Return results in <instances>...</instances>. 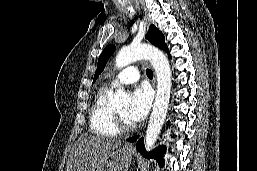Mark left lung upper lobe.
<instances>
[{
  "label": "left lung upper lobe",
  "instance_id": "left-lung-upper-lobe-1",
  "mask_svg": "<svg viewBox=\"0 0 257 171\" xmlns=\"http://www.w3.org/2000/svg\"><path fill=\"white\" fill-rule=\"evenodd\" d=\"M146 38L155 46L159 47L160 49L166 51L167 53H169L168 47L165 43V38L164 35L162 34V32H160L158 30V28H156L154 25H150L149 31L146 35ZM115 49L114 45H108L103 52L101 53L99 59H98V64H97V70L95 72L94 75V79H93V83L96 81V79L98 78V76L102 73V71L105 68V65L109 59V57L111 56V54L113 53Z\"/></svg>",
  "mask_w": 257,
  "mask_h": 171
}]
</instances>
